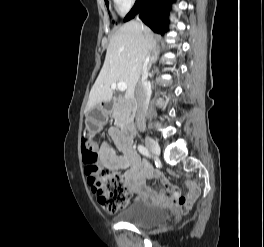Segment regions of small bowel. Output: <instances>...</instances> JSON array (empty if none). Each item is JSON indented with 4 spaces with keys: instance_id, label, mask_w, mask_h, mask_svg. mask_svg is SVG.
<instances>
[{
    "instance_id": "small-bowel-1",
    "label": "small bowel",
    "mask_w": 264,
    "mask_h": 247,
    "mask_svg": "<svg viewBox=\"0 0 264 247\" xmlns=\"http://www.w3.org/2000/svg\"><path fill=\"white\" fill-rule=\"evenodd\" d=\"M109 135L120 154H117L116 150L105 142L99 149L100 163L108 170H126L125 179L131 192L165 205L185 202V205L190 207L193 204L199 191L195 182H186L185 191L181 192L163 174L154 171L152 166L136 153L129 136L116 127L109 130ZM146 179L158 180L164 185V190L159 195H148L145 187Z\"/></svg>"
}]
</instances>
